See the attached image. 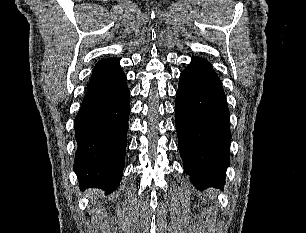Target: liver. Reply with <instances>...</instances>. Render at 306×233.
<instances>
[{"mask_svg":"<svg viewBox=\"0 0 306 233\" xmlns=\"http://www.w3.org/2000/svg\"><path fill=\"white\" fill-rule=\"evenodd\" d=\"M88 195L91 196V197L93 198V197H95V196L97 195V191H96V190H94V191H89V192H88Z\"/></svg>","mask_w":306,"mask_h":233,"instance_id":"obj_1","label":"liver"}]
</instances>
